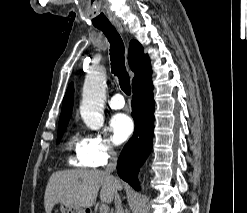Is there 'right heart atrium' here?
Here are the masks:
<instances>
[{
	"label": "right heart atrium",
	"mask_w": 247,
	"mask_h": 213,
	"mask_svg": "<svg viewBox=\"0 0 247 213\" xmlns=\"http://www.w3.org/2000/svg\"><path fill=\"white\" fill-rule=\"evenodd\" d=\"M115 155L112 141L103 134H92L86 139L84 159L90 167H102Z\"/></svg>",
	"instance_id": "d8ad5b80"
}]
</instances>
